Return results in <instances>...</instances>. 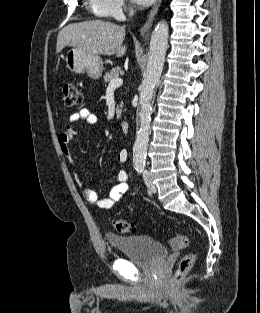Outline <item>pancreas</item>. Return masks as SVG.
Returning <instances> with one entry per match:
<instances>
[{
	"label": "pancreas",
	"mask_w": 260,
	"mask_h": 313,
	"mask_svg": "<svg viewBox=\"0 0 260 313\" xmlns=\"http://www.w3.org/2000/svg\"><path fill=\"white\" fill-rule=\"evenodd\" d=\"M119 70H120V67H117V68H114L110 71H108L105 75H104V82L105 83H109L111 80L115 79V78H118L119 76ZM122 106H117L116 108V114H117V119H120L121 117V113H122V109H121Z\"/></svg>",
	"instance_id": "1"
}]
</instances>
